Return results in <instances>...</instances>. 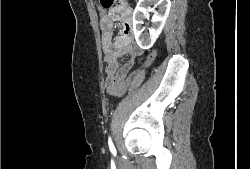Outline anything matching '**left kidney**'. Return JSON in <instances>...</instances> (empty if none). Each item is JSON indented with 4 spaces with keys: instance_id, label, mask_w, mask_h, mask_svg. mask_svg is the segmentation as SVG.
Segmentation results:
<instances>
[{
    "instance_id": "left-kidney-1",
    "label": "left kidney",
    "mask_w": 250,
    "mask_h": 169,
    "mask_svg": "<svg viewBox=\"0 0 250 169\" xmlns=\"http://www.w3.org/2000/svg\"><path fill=\"white\" fill-rule=\"evenodd\" d=\"M148 4H154L158 6V12L151 18L153 26L150 28L149 36L142 34L143 20L148 14ZM171 0H138L137 6L133 12V30L135 40L140 48H151L156 38H158L162 28L167 20V16L170 12Z\"/></svg>"
}]
</instances>
